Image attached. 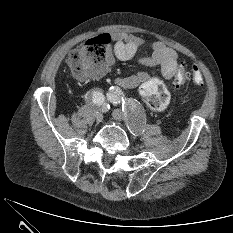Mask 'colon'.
I'll return each mask as SVG.
<instances>
[{
  "label": "colon",
  "mask_w": 233,
  "mask_h": 233,
  "mask_svg": "<svg viewBox=\"0 0 233 233\" xmlns=\"http://www.w3.org/2000/svg\"><path fill=\"white\" fill-rule=\"evenodd\" d=\"M110 37L99 35L77 46L69 56V65L78 78L97 76L103 71L108 51ZM177 86L191 80L196 85L203 83L200 67L194 64L190 71L180 67L173 77ZM140 94L146 105L153 111H163L167 108L170 97L165 85L158 79H149L140 87Z\"/></svg>",
  "instance_id": "colon-1"
}]
</instances>
